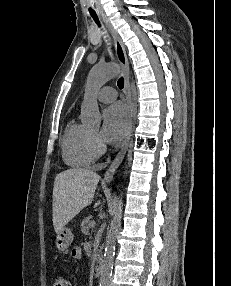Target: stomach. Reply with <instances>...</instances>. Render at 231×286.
<instances>
[{
  "label": "stomach",
  "mask_w": 231,
  "mask_h": 286,
  "mask_svg": "<svg viewBox=\"0 0 231 286\" xmlns=\"http://www.w3.org/2000/svg\"><path fill=\"white\" fill-rule=\"evenodd\" d=\"M73 241V234L69 228H63L56 236V247L59 251H65Z\"/></svg>",
  "instance_id": "obj_1"
}]
</instances>
